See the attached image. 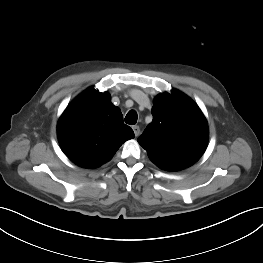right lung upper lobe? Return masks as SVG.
I'll list each match as a JSON object with an SVG mask.
<instances>
[{
	"label": "right lung upper lobe",
	"mask_w": 263,
	"mask_h": 263,
	"mask_svg": "<svg viewBox=\"0 0 263 263\" xmlns=\"http://www.w3.org/2000/svg\"><path fill=\"white\" fill-rule=\"evenodd\" d=\"M107 92L88 88L61 115L57 133L63 152L75 164L97 168L111 160L119 147L134 138L120 109Z\"/></svg>",
	"instance_id": "cb5924a9"
}]
</instances>
